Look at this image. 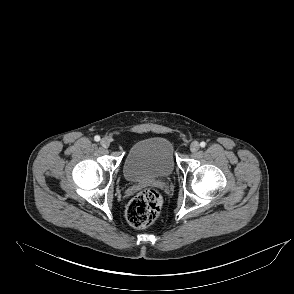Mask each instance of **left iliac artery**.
Masks as SVG:
<instances>
[{
  "instance_id": "44dca946",
  "label": "left iliac artery",
  "mask_w": 294,
  "mask_h": 294,
  "mask_svg": "<svg viewBox=\"0 0 294 294\" xmlns=\"http://www.w3.org/2000/svg\"><path fill=\"white\" fill-rule=\"evenodd\" d=\"M200 146H201L202 148H204V147L206 146V143H205L204 141H202V142L200 143Z\"/></svg>"
}]
</instances>
